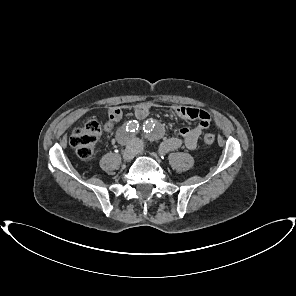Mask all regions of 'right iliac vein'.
I'll list each match as a JSON object with an SVG mask.
<instances>
[{"label": "right iliac vein", "mask_w": 296, "mask_h": 296, "mask_svg": "<svg viewBox=\"0 0 296 296\" xmlns=\"http://www.w3.org/2000/svg\"><path fill=\"white\" fill-rule=\"evenodd\" d=\"M136 155V146L133 141L128 142L125 150L123 151L122 157L125 161L133 159Z\"/></svg>", "instance_id": "right-iliac-vein-1"}]
</instances>
